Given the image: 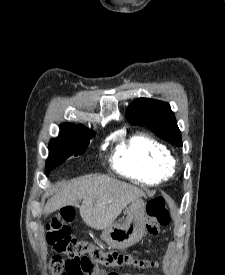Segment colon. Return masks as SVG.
Returning a JSON list of instances; mask_svg holds the SVG:
<instances>
[{
    "label": "colon",
    "mask_w": 225,
    "mask_h": 275,
    "mask_svg": "<svg viewBox=\"0 0 225 275\" xmlns=\"http://www.w3.org/2000/svg\"><path fill=\"white\" fill-rule=\"evenodd\" d=\"M146 230L150 235H158L161 228L167 226L171 215L161 197L150 200L146 207ZM74 217L70 208H64L54 215L47 225V241L56 250L73 257L64 261L59 255L50 259L53 275H96L98 264L106 267H137L149 269L155 266L150 260L139 259L131 254L104 250L100 246L74 237L69 223ZM109 275H117L110 272Z\"/></svg>",
    "instance_id": "1"
}]
</instances>
